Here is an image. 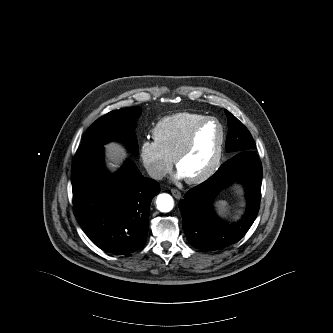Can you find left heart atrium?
Returning a JSON list of instances; mask_svg holds the SVG:
<instances>
[{
    "mask_svg": "<svg viewBox=\"0 0 333 333\" xmlns=\"http://www.w3.org/2000/svg\"><path fill=\"white\" fill-rule=\"evenodd\" d=\"M176 177L178 179H184L185 177L183 176V174L178 170L177 173H176Z\"/></svg>",
    "mask_w": 333,
    "mask_h": 333,
    "instance_id": "left-heart-atrium-1",
    "label": "left heart atrium"
}]
</instances>
